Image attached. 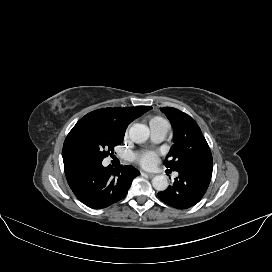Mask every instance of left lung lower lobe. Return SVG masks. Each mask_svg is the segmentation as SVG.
I'll return each mask as SVG.
<instances>
[{"instance_id":"obj_1","label":"left lung lower lobe","mask_w":272,"mask_h":272,"mask_svg":"<svg viewBox=\"0 0 272 272\" xmlns=\"http://www.w3.org/2000/svg\"><path fill=\"white\" fill-rule=\"evenodd\" d=\"M212 170V162L183 166L177 170L179 177L173 185L159 192L158 197L174 208H190L196 205L207 191Z\"/></svg>"}]
</instances>
